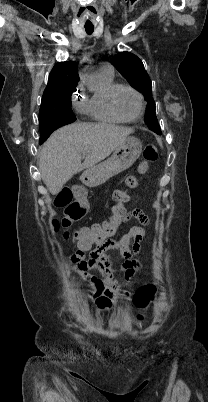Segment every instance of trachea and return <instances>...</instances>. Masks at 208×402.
<instances>
[{"instance_id":"3493384b","label":"trachea","mask_w":208,"mask_h":402,"mask_svg":"<svg viewBox=\"0 0 208 402\" xmlns=\"http://www.w3.org/2000/svg\"><path fill=\"white\" fill-rule=\"evenodd\" d=\"M85 31L88 35H91L94 32V27H85Z\"/></svg>"}]
</instances>
